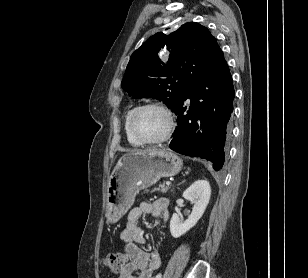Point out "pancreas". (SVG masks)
<instances>
[{
	"label": "pancreas",
	"mask_w": 308,
	"mask_h": 278,
	"mask_svg": "<svg viewBox=\"0 0 308 278\" xmlns=\"http://www.w3.org/2000/svg\"><path fill=\"white\" fill-rule=\"evenodd\" d=\"M169 190V186H166L165 183L160 184L158 188H154V191H160L166 193Z\"/></svg>",
	"instance_id": "pancreas-1"
}]
</instances>
